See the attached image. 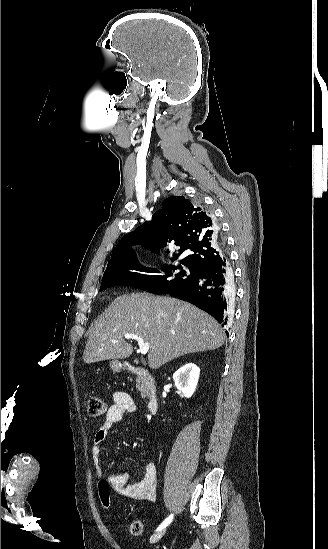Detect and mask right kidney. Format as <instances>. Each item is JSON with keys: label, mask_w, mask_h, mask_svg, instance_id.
Wrapping results in <instances>:
<instances>
[{"label": "right kidney", "mask_w": 328, "mask_h": 549, "mask_svg": "<svg viewBox=\"0 0 328 549\" xmlns=\"http://www.w3.org/2000/svg\"><path fill=\"white\" fill-rule=\"evenodd\" d=\"M200 375L199 367L194 363H187L184 367H180L173 375L175 387L183 393L184 397H192L198 383Z\"/></svg>", "instance_id": "ca27d5eb"}]
</instances>
